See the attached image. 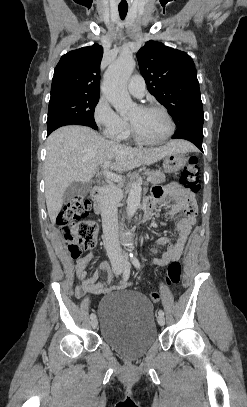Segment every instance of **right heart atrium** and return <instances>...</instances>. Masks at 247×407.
Wrapping results in <instances>:
<instances>
[{
  "label": "right heart atrium",
  "mask_w": 247,
  "mask_h": 407,
  "mask_svg": "<svg viewBox=\"0 0 247 407\" xmlns=\"http://www.w3.org/2000/svg\"><path fill=\"white\" fill-rule=\"evenodd\" d=\"M93 119L102 133L114 140H120L127 130V122L119 116L105 96H101L93 109Z\"/></svg>",
  "instance_id": "right-heart-atrium-1"
}]
</instances>
